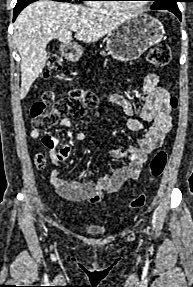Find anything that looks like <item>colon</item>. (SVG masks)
Instances as JSON below:
<instances>
[{
  "label": "colon",
  "mask_w": 193,
  "mask_h": 287,
  "mask_svg": "<svg viewBox=\"0 0 193 287\" xmlns=\"http://www.w3.org/2000/svg\"><path fill=\"white\" fill-rule=\"evenodd\" d=\"M171 59V51L167 44L155 45L148 55L149 62L156 67L166 66ZM61 69V61L55 54H51L48 59L46 74H54ZM170 106L173 109L177 108L178 100L175 96L170 98ZM98 100L96 96L88 91L74 90L68 98L55 101V94L48 92L44 94L41 101H37L32 106L33 125L39 130H47L51 128L60 116L70 114L75 118H83L88 111L96 108ZM52 105L50 111L47 107ZM35 163L38 168H43L46 165V159L43 155L36 156ZM167 164V154L160 151L152 158L150 162V173L152 178L159 177ZM146 195L141 194L132 200L130 206L133 209L142 208L146 204Z\"/></svg>",
  "instance_id": "colon-1"
}]
</instances>
